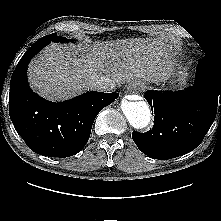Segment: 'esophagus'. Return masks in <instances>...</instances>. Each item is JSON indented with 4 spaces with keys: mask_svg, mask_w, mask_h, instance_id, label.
Segmentation results:
<instances>
[{
    "mask_svg": "<svg viewBox=\"0 0 221 221\" xmlns=\"http://www.w3.org/2000/svg\"><path fill=\"white\" fill-rule=\"evenodd\" d=\"M140 83L134 82L129 85V87L139 88Z\"/></svg>",
    "mask_w": 221,
    "mask_h": 221,
    "instance_id": "esophagus-1",
    "label": "esophagus"
}]
</instances>
